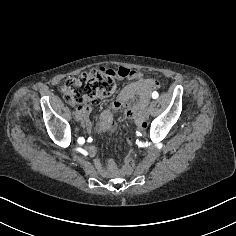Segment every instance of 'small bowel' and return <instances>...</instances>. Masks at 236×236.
Instances as JSON below:
<instances>
[{
	"label": "small bowel",
	"instance_id": "small-bowel-1",
	"mask_svg": "<svg viewBox=\"0 0 236 236\" xmlns=\"http://www.w3.org/2000/svg\"><path fill=\"white\" fill-rule=\"evenodd\" d=\"M129 71L130 75L124 78L130 79L132 82L125 86L119 93L117 99L101 112L96 125V131L98 133H105L113 128L112 112L117 110H124V115L127 119L132 120L140 129L144 128V109L151 90L156 88L158 83L152 79H145L141 72ZM97 103L98 100H93L90 104H82L77 109V119L88 132L92 131V124L90 122L92 106ZM89 142L91 143L92 139ZM87 152L89 155L94 156L97 153V147L91 144L87 147ZM94 165L102 175L107 177H117L123 172V168H118L111 161L103 164L100 160L96 159Z\"/></svg>",
	"mask_w": 236,
	"mask_h": 236
}]
</instances>
